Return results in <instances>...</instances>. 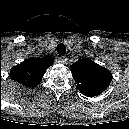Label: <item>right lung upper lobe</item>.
I'll use <instances>...</instances> for the list:
<instances>
[{
	"instance_id": "cb5924a9",
	"label": "right lung upper lobe",
	"mask_w": 129,
	"mask_h": 129,
	"mask_svg": "<svg viewBox=\"0 0 129 129\" xmlns=\"http://www.w3.org/2000/svg\"><path fill=\"white\" fill-rule=\"evenodd\" d=\"M45 65L46 62L41 63V59L39 58H30L29 60H25L22 62L18 68L20 71L27 73V71L33 73L34 77L31 79H38L42 74L44 73L45 70ZM28 78V77H27Z\"/></svg>"
}]
</instances>
